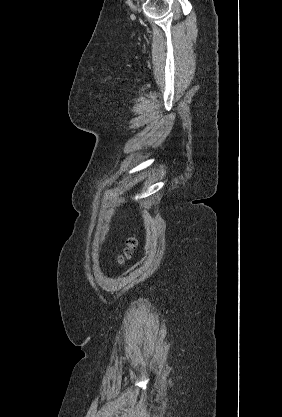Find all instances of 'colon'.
Here are the masks:
<instances>
[{
    "instance_id": "colon-1",
    "label": "colon",
    "mask_w": 282,
    "mask_h": 417,
    "mask_svg": "<svg viewBox=\"0 0 282 417\" xmlns=\"http://www.w3.org/2000/svg\"><path fill=\"white\" fill-rule=\"evenodd\" d=\"M136 245H137L136 240H135V239H132V240L130 241V243H129V249L127 250L126 255L120 259V263H121V264H122V263H124V262L126 261V259H127L128 255H129V253L131 252V250H133L134 248H136Z\"/></svg>"
}]
</instances>
